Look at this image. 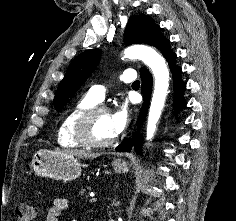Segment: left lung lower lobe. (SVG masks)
<instances>
[{"label": "left lung lower lobe", "mask_w": 236, "mask_h": 221, "mask_svg": "<svg viewBox=\"0 0 236 221\" xmlns=\"http://www.w3.org/2000/svg\"><path fill=\"white\" fill-rule=\"evenodd\" d=\"M169 43L170 41L168 39L161 36L154 42L153 46L159 49L163 53V55L165 56V58L169 63V67L173 74V79H174V104L176 109L180 110L186 104L185 100L183 99V93L186 89V85L180 78L182 69L175 64L176 54L171 51ZM140 76L142 79L141 92L143 94L145 102L142 108L140 109L139 120H138L139 124L144 119L147 113V109L149 106V99L152 92V76L149 73V71L146 68H141ZM134 145L136 147L137 152H140V141L137 137H135L134 139ZM131 149H132L131 139H127L125 142H123L116 148V150L120 152H129Z\"/></svg>", "instance_id": "1"}]
</instances>
